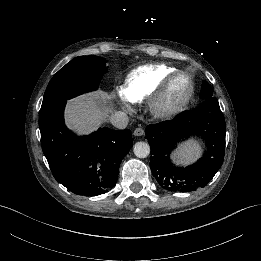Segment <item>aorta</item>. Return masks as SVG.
I'll use <instances>...</instances> for the list:
<instances>
[{
  "label": "aorta",
  "instance_id": "762f6f07",
  "mask_svg": "<svg viewBox=\"0 0 261 261\" xmlns=\"http://www.w3.org/2000/svg\"><path fill=\"white\" fill-rule=\"evenodd\" d=\"M133 152L138 158H146L150 154V146L143 141L136 142L133 147Z\"/></svg>",
  "mask_w": 261,
  "mask_h": 261
}]
</instances>
